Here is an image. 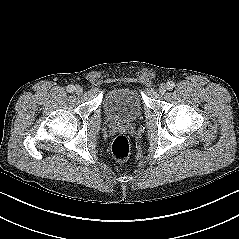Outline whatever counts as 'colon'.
Segmentation results:
<instances>
[{
  "instance_id": "5ec220e1",
  "label": "colon",
  "mask_w": 239,
  "mask_h": 239,
  "mask_svg": "<svg viewBox=\"0 0 239 239\" xmlns=\"http://www.w3.org/2000/svg\"><path fill=\"white\" fill-rule=\"evenodd\" d=\"M111 152L117 160H126L131 153V147L127 137L124 135L116 136L112 142Z\"/></svg>"
}]
</instances>
